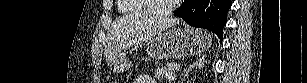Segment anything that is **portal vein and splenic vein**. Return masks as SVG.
<instances>
[{
	"instance_id": "obj_1",
	"label": "portal vein and splenic vein",
	"mask_w": 307,
	"mask_h": 83,
	"mask_svg": "<svg viewBox=\"0 0 307 83\" xmlns=\"http://www.w3.org/2000/svg\"><path fill=\"white\" fill-rule=\"evenodd\" d=\"M175 77H176V75H175L174 73H170V74L168 75V79H169V80H173Z\"/></svg>"
}]
</instances>
